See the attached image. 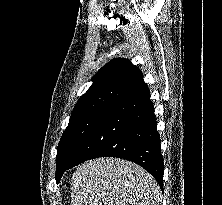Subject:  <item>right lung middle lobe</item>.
Instances as JSON below:
<instances>
[{
  "label": "right lung middle lobe",
  "mask_w": 222,
  "mask_h": 205,
  "mask_svg": "<svg viewBox=\"0 0 222 205\" xmlns=\"http://www.w3.org/2000/svg\"><path fill=\"white\" fill-rule=\"evenodd\" d=\"M109 110H92L70 118L57 147L56 181L61 179L83 142Z\"/></svg>",
  "instance_id": "dd1d6c3e"
}]
</instances>
